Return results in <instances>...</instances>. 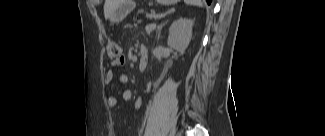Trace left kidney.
Returning a JSON list of instances; mask_svg holds the SVG:
<instances>
[{"label":"left kidney","mask_w":325,"mask_h":136,"mask_svg":"<svg viewBox=\"0 0 325 136\" xmlns=\"http://www.w3.org/2000/svg\"><path fill=\"white\" fill-rule=\"evenodd\" d=\"M193 24L194 21L187 18L174 21L169 28L168 46L177 51H185L192 38Z\"/></svg>","instance_id":"1"}]
</instances>
